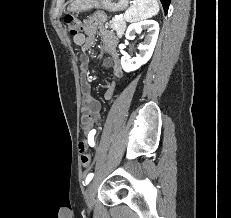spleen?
<instances>
[{"label":"spleen","mask_w":231,"mask_h":218,"mask_svg":"<svg viewBox=\"0 0 231 218\" xmlns=\"http://www.w3.org/2000/svg\"><path fill=\"white\" fill-rule=\"evenodd\" d=\"M159 9L157 0H134L124 18L127 22L139 21L158 14Z\"/></svg>","instance_id":"3e777b00"}]
</instances>
